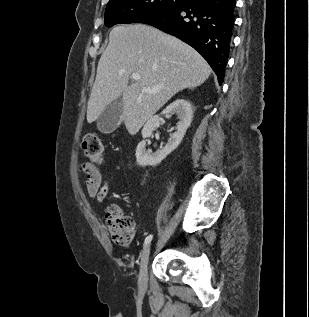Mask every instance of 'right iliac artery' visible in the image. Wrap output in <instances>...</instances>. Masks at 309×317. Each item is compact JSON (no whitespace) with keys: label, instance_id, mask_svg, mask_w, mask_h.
I'll list each match as a JSON object with an SVG mask.
<instances>
[{"label":"right iliac artery","instance_id":"obj_1","mask_svg":"<svg viewBox=\"0 0 309 317\" xmlns=\"http://www.w3.org/2000/svg\"><path fill=\"white\" fill-rule=\"evenodd\" d=\"M153 235L150 234L149 236L146 237L145 241H144V247H146L152 240Z\"/></svg>","mask_w":309,"mask_h":317}]
</instances>
